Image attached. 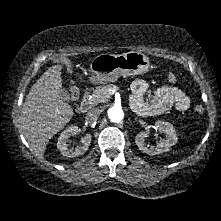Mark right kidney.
I'll return each mask as SVG.
<instances>
[{"mask_svg": "<svg viewBox=\"0 0 221 221\" xmlns=\"http://www.w3.org/2000/svg\"><path fill=\"white\" fill-rule=\"evenodd\" d=\"M78 132V127L73 125L65 129L58 138L57 147L61 154L66 157H75L84 154L91 143V135L86 134L82 138V145L77 148H68V139L71 136L76 135Z\"/></svg>", "mask_w": 221, "mask_h": 221, "instance_id": "ca27d5eb", "label": "right kidney"}]
</instances>
